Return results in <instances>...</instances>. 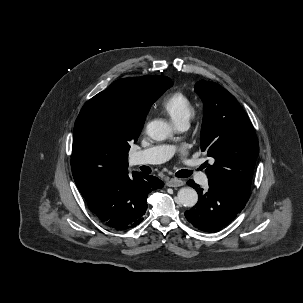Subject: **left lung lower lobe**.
<instances>
[{
	"label": "left lung lower lobe",
	"mask_w": 303,
	"mask_h": 303,
	"mask_svg": "<svg viewBox=\"0 0 303 303\" xmlns=\"http://www.w3.org/2000/svg\"><path fill=\"white\" fill-rule=\"evenodd\" d=\"M199 196L195 207L185 212L186 219L204 232L218 231L230 223L244 208L248 199L226 185L209 179L204 192L193 180L187 182Z\"/></svg>",
	"instance_id": "obj_1"
}]
</instances>
